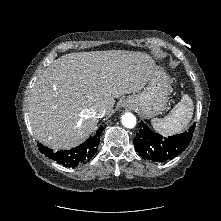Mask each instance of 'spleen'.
I'll return each mask as SVG.
<instances>
[{
    "label": "spleen",
    "mask_w": 221,
    "mask_h": 221,
    "mask_svg": "<svg viewBox=\"0 0 221 221\" xmlns=\"http://www.w3.org/2000/svg\"><path fill=\"white\" fill-rule=\"evenodd\" d=\"M193 101L188 94H184L180 102L164 118L151 120L153 129L163 136H170L183 131L193 116Z\"/></svg>",
    "instance_id": "obj_1"
}]
</instances>
